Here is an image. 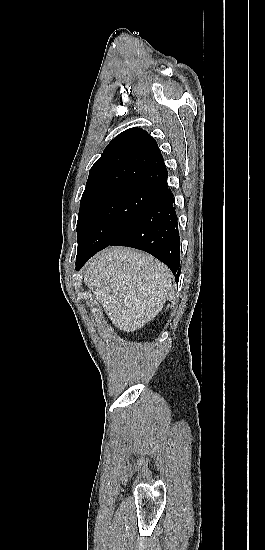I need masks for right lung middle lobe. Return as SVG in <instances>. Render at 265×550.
I'll list each match as a JSON object with an SVG mask.
<instances>
[{
	"label": "right lung middle lobe",
	"mask_w": 265,
	"mask_h": 550,
	"mask_svg": "<svg viewBox=\"0 0 265 550\" xmlns=\"http://www.w3.org/2000/svg\"><path fill=\"white\" fill-rule=\"evenodd\" d=\"M160 186L123 187L80 202L77 257L97 252L116 240L144 213Z\"/></svg>",
	"instance_id": "1"
}]
</instances>
